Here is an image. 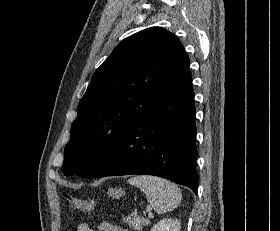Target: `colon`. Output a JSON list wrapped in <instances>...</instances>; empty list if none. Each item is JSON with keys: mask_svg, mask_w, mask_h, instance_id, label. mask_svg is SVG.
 I'll list each match as a JSON object with an SVG mask.
<instances>
[{"mask_svg": "<svg viewBox=\"0 0 280 231\" xmlns=\"http://www.w3.org/2000/svg\"><path fill=\"white\" fill-rule=\"evenodd\" d=\"M65 199L68 203L76 210L80 212L90 213L93 212L97 208L96 201H88L85 199L77 198L71 196L69 193H63Z\"/></svg>", "mask_w": 280, "mask_h": 231, "instance_id": "obj_1", "label": "colon"}]
</instances>
